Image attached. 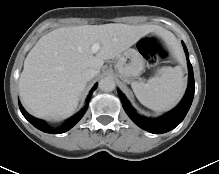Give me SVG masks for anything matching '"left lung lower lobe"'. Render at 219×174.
<instances>
[{
	"mask_svg": "<svg viewBox=\"0 0 219 174\" xmlns=\"http://www.w3.org/2000/svg\"><path fill=\"white\" fill-rule=\"evenodd\" d=\"M183 47L187 56V63L189 69V84L186 94L180 104L173 109L168 114L160 117L157 121H152L147 117H143L135 111V109L130 105L129 101L126 99L124 94L121 91H118L119 97L123 103L124 110L128 114V116L133 120L135 124H137L140 128L154 133L161 134L168 132L178 126L182 120L185 118L194 97V75L193 68L189 61V54L185 44L183 43Z\"/></svg>",
	"mask_w": 219,
	"mask_h": 174,
	"instance_id": "obj_1",
	"label": "left lung lower lobe"
}]
</instances>
